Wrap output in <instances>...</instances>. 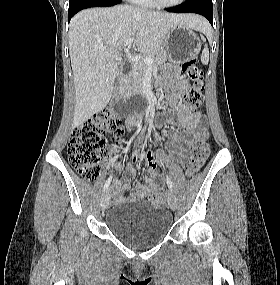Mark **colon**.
Listing matches in <instances>:
<instances>
[{
    "instance_id": "colon-1",
    "label": "colon",
    "mask_w": 280,
    "mask_h": 285,
    "mask_svg": "<svg viewBox=\"0 0 280 285\" xmlns=\"http://www.w3.org/2000/svg\"><path fill=\"white\" fill-rule=\"evenodd\" d=\"M183 70L190 81L185 93L187 106L197 109L204 97V74L197 66L195 58L183 64ZM123 134L120 119L112 112L101 113L73 129L68 145V157L71 166L86 180L93 181L99 175L100 162L111 153L109 141L118 142ZM206 137L197 136L192 140L187 174H196L209 155ZM137 159V153L133 160ZM153 203H163L165 195L156 193L149 197Z\"/></svg>"
}]
</instances>
